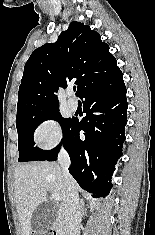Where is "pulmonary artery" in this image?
<instances>
[{
  "label": "pulmonary artery",
  "mask_w": 155,
  "mask_h": 235,
  "mask_svg": "<svg viewBox=\"0 0 155 235\" xmlns=\"http://www.w3.org/2000/svg\"><path fill=\"white\" fill-rule=\"evenodd\" d=\"M68 106L72 111H75L78 107L77 100L74 98L72 92H70V96L68 99Z\"/></svg>",
  "instance_id": "e3ab8cb5"
}]
</instances>
